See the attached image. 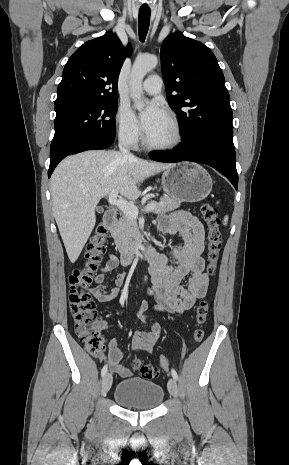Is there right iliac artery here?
<instances>
[{
    "mask_svg": "<svg viewBox=\"0 0 289 465\" xmlns=\"http://www.w3.org/2000/svg\"><path fill=\"white\" fill-rule=\"evenodd\" d=\"M107 373V365H105L102 370H101V376L104 377V375Z\"/></svg>",
    "mask_w": 289,
    "mask_h": 465,
    "instance_id": "right-iliac-artery-1",
    "label": "right iliac artery"
}]
</instances>
